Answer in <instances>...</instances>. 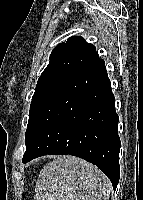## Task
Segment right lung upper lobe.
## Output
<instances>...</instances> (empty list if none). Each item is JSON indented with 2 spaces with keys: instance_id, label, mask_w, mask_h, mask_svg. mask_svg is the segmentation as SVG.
<instances>
[{
  "instance_id": "obj_1",
  "label": "right lung upper lobe",
  "mask_w": 143,
  "mask_h": 200,
  "mask_svg": "<svg viewBox=\"0 0 143 200\" xmlns=\"http://www.w3.org/2000/svg\"><path fill=\"white\" fill-rule=\"evenodd\" d=\"M100 60L94 45L80 36L68 38L66 43L58 44L50 55V62L39 80L49 77H67L84 67Z\"/></svg>"
}]
</instances>
